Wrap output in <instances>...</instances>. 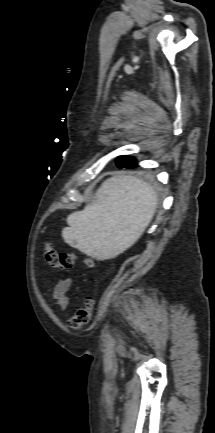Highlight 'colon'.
<instances>
[{"mask_svg":"<svg viewBox=\"0 0 215 433\" xmlns=\"http://www.w3.org/2000/svg\"><path fill=\"white\" fill-rule=\"evenodd\" d=\"M44 256L46 262L60 270L71 269L76 260V256L72 252L59 251L51 245H46L44 248ZM87 264H91L92 261L88 260ZM94 299L90 296L84 298L81 307L76 313L69 319V327L71 329H81L87 325L93 315Z\"/></svg>","mask_w":215,"mask_h":433,"instance_id":"colon-1","label":"colon"}]
</instances>
